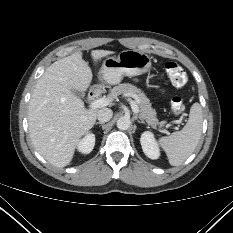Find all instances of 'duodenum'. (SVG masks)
<instances>
[{
	"instance_id": "410a0bca",
	"label": "duodenum",
	"mask_w": 233,
	"mask_h": 233,
	"mask_svg": "<svg viewBox=\"0 0 233 233\" xmlns=\"http://www.w3.org/2000/svg\"><path fill=\"white\" fill-rule=\"evenodd\" d=\"M97 96V90L91 89L88 93V99L93 100Z\"/></svg>"
}]
</instances>
